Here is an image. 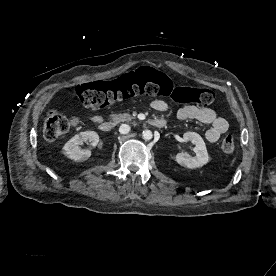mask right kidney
<instances>
[{"label":"right kidney","mask_w":276,"mask_h":276,"mask_svg":"<svg viewBox=\"0 0 276 276\" xmlns=\"http://www.w3.org/2000/svg\"><path fill=\"white\" fill-rule=\"evenodd\" d=\"M89 141L95 147L99 142V135L94 131L81 132L72 137L63 147V154L74 161H85L91 156L90 150H82L79 145Z\"/></svg>","instance_id":"obj_1"}]
</instances>
